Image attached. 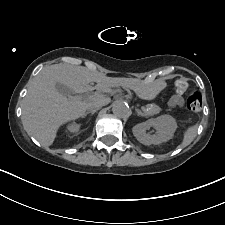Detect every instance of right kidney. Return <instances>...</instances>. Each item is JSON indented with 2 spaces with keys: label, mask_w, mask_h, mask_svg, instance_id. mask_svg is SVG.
Segmentation results:
<instances>
[{
  "label": "right kidney",
  "mask_w": 225,
  "mask_h": 225,
  "mask_svg": "<svg viewBox=\"0 0 225 225\" xmlns=\"http://www.w3.org/2000/svg\"><path fill=\"white\" fill-rule=\"evenodd\" d=\"M67 131L70 132V133H79L80 131V125L79 124H76L75 122L74 123H71L67 126Z\"/></svg>",
  "instance_id": "obj_1"
}]
</instances>
